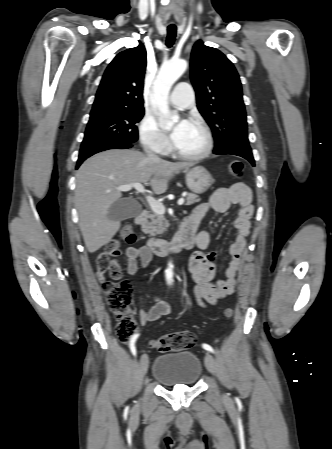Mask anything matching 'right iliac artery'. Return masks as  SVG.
<instances>
[{"label":"right iliac artery","instance_id":"82829eb1","mask_svg":"<svg viewBox=\"0 0 332 449\" xmlns=\"http://www.w3.org/2000/svg\"><path fill=\"white\" fill-rule=\"evenodd\" d=\"M138 336H139V334H135L134 336H132V338L130 339V342H129V347H130V350L133 355H136L135 343H136Z\"/></svg>","mask_w":332,"mask_h":449}]
</instances>
